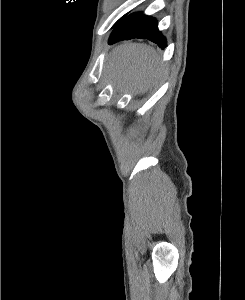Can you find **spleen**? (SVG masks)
<instances>
[{
    "label": "spleen",
    "instance_id": "obj_1",
    "mask_svg": "<svg viewBox=\"0 0 245 300\" xmlns=\"http://www.w3.org/2000/svg\"><path fill=\"white\" fill-rule=\"evenodd\" d=\"M111 60L113 75L118 80L128 77L132 86L151 77L158 63L156 51L140 44H123L116 47L112 52Z\"/></svg>",
    "mask_w": 245,
    "mask_h": 300
}]
</instances>
